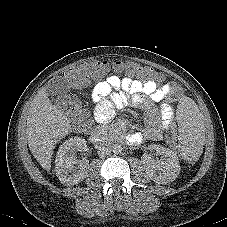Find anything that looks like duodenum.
<instances>
[{
    "label": "duodenum",
    "instance_id": "duodenum-1",
    "mask_svg": "<svg viewBox=\"0 0 227 227\" xmlns=\"http://www.w3.org/2000/svg\"><path fill=\"white\" fill-rule=\"evenodd\" d=\"M107 137V133L102 129H97L89 134L92 143L100 144Z\"/></svg>",
    "mask_w": 227,
    "mask_h": 227
}]
</instances>
